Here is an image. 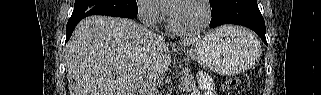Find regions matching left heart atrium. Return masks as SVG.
<instances>
[{"label":"left heart atrium","mask_w":321,"mask_h":95,"mask_svg":"<svg viewBox=\"0 0 321 95\" xmlns=\"http://www.w3.org/2000/svg\"><path fill=\"white\" fill-rule=\"evenodd\" d=\"M174 10H175V8H173V7H171L170 9L167 8L168 14H170V15L173 13Z\"/></svg>","instance_id":"1"}]
</instances>
